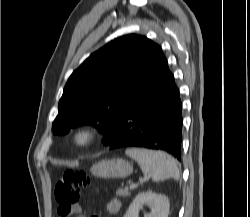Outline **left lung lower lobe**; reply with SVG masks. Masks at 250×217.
Masks as SVG:
<instances>
[{"mask_svg": "<svg viewBox=\"0 0 250 217\" xmlns=\"http://www.w3.org/2000/svg\"><path fill=\"white\" fill-rule=\"evenodd\" d=\"M182 104L167 60L160 51L117 118L111 149L144 147L164 150L181 160Z\"/></svg>", "mask_w": 250, "mask_h": 217, "instance_id": "1", "label": "left lung lower lobe"}]
</instances>
